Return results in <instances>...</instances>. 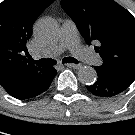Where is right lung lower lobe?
Here are the masks:
<instances>
[{
	"instance_id": "98d812e1",
	"label": "right lung lower lobe",
	"mask_w": 135,
	"mask_h": 135,
	"mask_svg": "<svg viewBox=\"0 0 135 135\" xmlns=\"http://www.w3.org/2000/svg\"><path fill=\"white\" fill-rule=\"evenodd\" d=\"M56 73L57 71L53 67H47L42 73L22 76L17 85L5 90L16 99L29 100L48 90Z\"/></svg>"
}]
</instances>
